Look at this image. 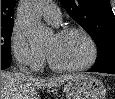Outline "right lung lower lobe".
Wrapping results in <instances>:
<instances>
[{
    "label": "right lung lower lobe",
    "instance_id": "98d812e1",
    "mask_svg": "<svg viewBox=\"0 0 115 99\" xmlns=\"http://www.w3.org/2000/svg\"><path fill=\"white\" fill-rule=\"evenodd\" d=\"M10 66V62H1V69H6Z\"/></svg>",
    "mask_w": 115,
    "mask_h": 99
}]
</instances>
